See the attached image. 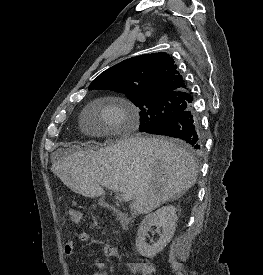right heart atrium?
<instances>
[{
  "instance_id": "right-heart-atrium-1",
  "label": "right heart atrium",
  "mask_w": 263,
  "mask_h": 275,
  "mask_svg": "<svg viewBox=\"0 0 263 275\" xmlns=\"http://www.w3.org/2000/svg\"><path fill=\"white\" fill-rule=\"evenodd\" d=\"M102 119L109 128H120L125 126L126 115L124 111L117 106H110L102 112Z\"/></svg>"
}]
</instances>
